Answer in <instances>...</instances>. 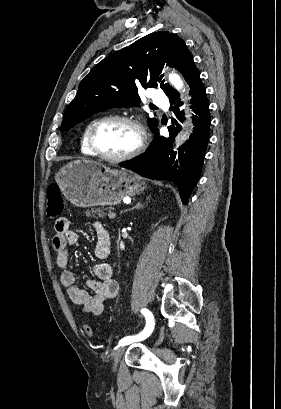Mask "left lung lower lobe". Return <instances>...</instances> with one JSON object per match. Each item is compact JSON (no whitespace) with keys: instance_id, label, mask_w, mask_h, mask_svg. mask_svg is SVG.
Masks as SVG:
<instances>
[{"instance_id":"left-lung-lower-lobe-1","label":"left lung lower lobe","mask_w":281,"mask_h":409,"mask_svg":"<svg viewBox=\"0 0 281 409\" xmlns=\"http://www.w3.org/2000/svg\"><path fill=\"white\" fill-rule=\"evenodd\" d=\"M188 83L195 113L193 116L195 127L190 139L179 149L178 154L171 149L174 137L181 128L180 122L184 120V112L180 111L179 107L182 106V102L179 94H176L169 98L170 110L175 115L172 120L173 126L168 127L170 137H159L157 130L153 143L145 153L132 161L121 164V167L130 169L141 176L157 180L166 179L175 183L183 204L188 202L191 191L199 179L211 123L209 103L198 69L193 72ZM169 154H171L170 157Z\"/></svg>"}]
</instances>
